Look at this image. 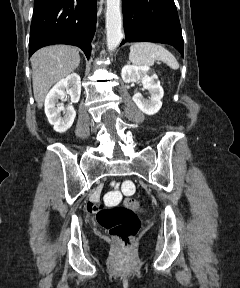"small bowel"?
<instances>
[{
	"label": "small bowel",
	"mask_w": 240,
	"mask_h": 288,
	"mask_svg": "<svg viewBox=\"0 0 240 288\" xmlns=\"http://www.w3.org/2000/svg\"><path fill=\"white\" fill-rule=\"evenodd\" d=\"M116 187H117V185H116ZM98 198H99V192H96V193L94 194L93 199H94V201H97ZM89 208H90V210H92V211L95 210V207H94L93 204H90Z\"/></svg>",
	"instance_id": "1"
}]
</instances>
